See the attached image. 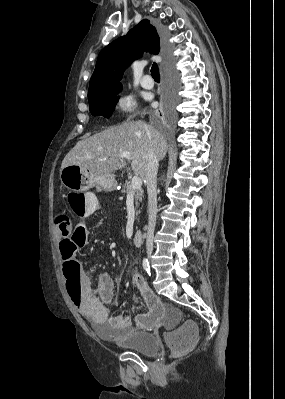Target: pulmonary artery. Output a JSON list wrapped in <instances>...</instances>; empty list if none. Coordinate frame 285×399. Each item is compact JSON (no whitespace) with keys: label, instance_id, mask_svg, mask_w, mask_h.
Segmentation results:
<instances>
[{"label":"pulmonary artery","instance_id":"pulmonary-artery-1","mask_svg":"<svg viewBox=\"0 0 285 399\" xmlns=\"http://www.w3.org/2000/svg\"><path fill=\"white\" fill-rule=\"evenodd\" d=\"M141 86H142L144 89H152V88H153L154 82H153V80L151 79V76H150L149 73H146V74L144 75L143 79L141 80Z\"/></svg>","mask_w":285,"mask_h":399}]
</instances>
